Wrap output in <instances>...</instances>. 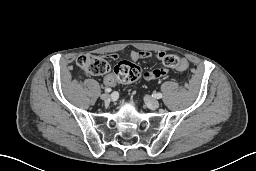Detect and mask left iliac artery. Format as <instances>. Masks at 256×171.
Masks as SVG:
<instances>
[{
	"mask_svg": "<svg viewBox=\"0 0 256 171\" xmlns=\"http://www.w3.org/2000/svg\"><path fill=\"white\" fill-rule=\"evenodd\" d=\"M155 97H156L157 99H161V98L163 97V95H162L161 93H157V94H155Z\"/></svg>",
	"mask_w": 256,
	"mask_h": 171,
	"instance_id": "obj_1",
	"label": "left iliac artery"
}]
</instances>
